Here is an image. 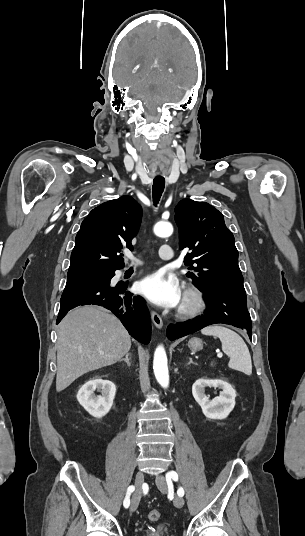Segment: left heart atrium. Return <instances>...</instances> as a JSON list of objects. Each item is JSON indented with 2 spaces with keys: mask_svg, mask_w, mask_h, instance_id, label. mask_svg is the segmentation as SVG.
Instances as JSON below:
<instances>
[{
  "mask_svg": "<svg viewBox=\"0 0 305 536\" xmlns=\"http://www.w3.org/2000/svg\"><path fill=\"white\" fill-rule=\"evenodd\" d=\"M137 291L158 306L174 307L181 301L177 281L174 278H165L161 273H154L140 280Z\"/></svg>",
  "mask_w": 305,
  "mask_h": 536,
  "instance_id": "39dd6f15",
  "label": "left heart atrium"
}]
</instances>
